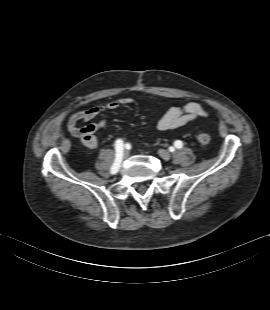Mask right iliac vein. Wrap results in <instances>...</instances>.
I'll return each mask as SVG.
<instances>
[{
  "label": "right iliac vein",
  "mask_w": 270,
  "mask_h": 310,
  "mask_svg": "<svg viewBox=\"0 0 270 310\" xmlns=\"http://www.w3.org/2000/svg\"><path fill=\"white\" fill-rule=\"evenodd\" d=\"M128 156H129V152L128 151H124L123 158L126 159V158H128Z\"/></svg>",
  "instance_id": "obj_1"
}]
</instances>
